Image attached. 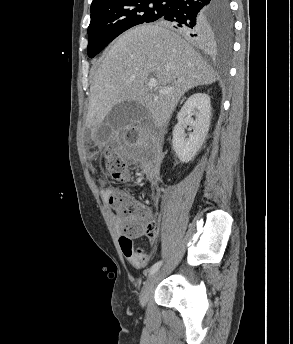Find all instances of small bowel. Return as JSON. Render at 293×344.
Wrapping results in <instances>:
<instances>
[{"label":"small bowel","mask_w":293,"mask_h":344,"mask_svg":"<svg viewBox=\"0 0 293 344\" xmlns=\"http://www.w3.org/2000/svg\"><path fill=\"white\" fill-rule=\"evenodd\" d=\"M113 191V187L105 188L103 190V196L106 201L109 200V197L113 193ZM111 222L115 230V234L122 254L132 266L137 269H143L152 259V255L147 254L141 249L135 247L133 239L124 233L121 223L119 222L117 216L113 213H111ZM149 239L153 247H156L158 243V234L156 232H153V235L149 236Z\"/></svg>","instance_id":"small-bowel-1"}]
</instances>
